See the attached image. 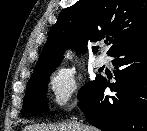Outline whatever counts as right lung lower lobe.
I'll use <instances>...</instances> for the list:
<instances>
[{
    "instance_id": "obj_1",
    "label": "right lung lower lobe",
    "mask_w": 147,
    "mask_h": 131,
    "mask_svg": "<svg viewBox=\"0 0 147 131\" xmlns=\"http://www.w3.org/2000/svg\"><path fill=\"white\" fill-rule=\"evenodd\" d=\"M115 83L98 77L79 107L89 123L102 131H147V35L112 55ZM109 87L111 96H104Z\"/></svg>"
}]
</instances>
